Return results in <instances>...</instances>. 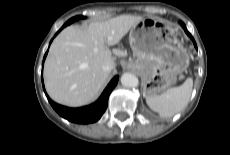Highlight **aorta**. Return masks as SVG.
<instances>
[{
  "instance_id": "762f6f07",
  "label": "aorta",
  "mask_w": 230,
  "mask_h": 155,
  "mask_svg": "<svg viewBox=\"0 0 230 155\" xmlns=\"http://www.w3.org/2000/svg\"><path fill=\"white\" fill-rule=\"evenodd\" d=\"M121 83L128 88H135L139 85L138 78L132 73H124L121 76Z\"/></svg>"
}]
</instances>
